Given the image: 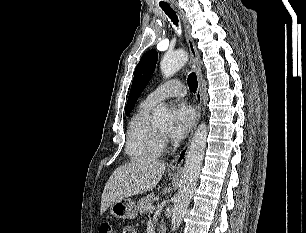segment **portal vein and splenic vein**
Returning a JSON list of instances; mask_svg holds the SVG:
<instances>
[{"mask_svg":"<svg viewBox=\"0 0 306 233\" xmlns=\"http://www.w3.org/2000/svg\"><path fill=\"white\" fill-rule=\"evenodd\" d=\"M147 209H148V212L150 213L154 211V207L152 205L148 206Z\"/></svg>","mask_w":306,"mask_h":233,"instance_id":"portal-vein-and-splenic-vein-1","label":"portal vein and splenic vein"}]
</instances>
